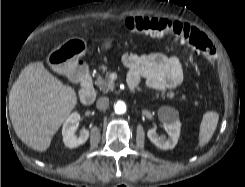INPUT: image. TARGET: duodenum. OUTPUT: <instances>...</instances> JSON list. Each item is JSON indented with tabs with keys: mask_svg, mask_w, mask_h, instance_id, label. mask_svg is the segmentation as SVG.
<instances>
[{
	"mask_svg": "<svg viewBox=\"0 0 245 187\" xmlns=\"http://www.w3.org/2000/svg\"><path fill=\"white\" fill-rule=\"evenodd\" d=\"M72 76L74 79L80 81L82 84V89L79 92L80 101L83 104L92 103L96 98L97 88L94 85L92 78L85 65L83 63L78 64L72 71Z\"/></svg>",
	"mask_w": 245,
	"mask_h": 187,
	"instance_id": "1",
	"label": "duodenum"
}]
</instances>
